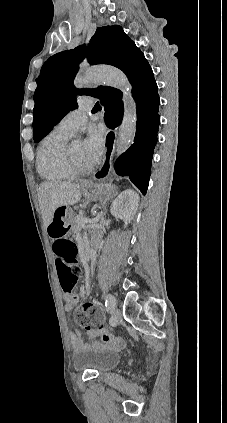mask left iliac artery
<instances>
[{"label": "left iliac artery", "mask_w": 227, "mask_h": 423, "mask_svg": "<svg viewBox=\"0 0 227 423\" xmlns=\"http://www.w3.org/2000/svg\"><path fill=\"white\" fill-rule=\"evenodd\" d=\"M104 300H105V306H106V308H107L109 305H111V304H114V303H115V298H114V296H113L112 294H107V295L105 296ZM112 310H113V307H112V306H111V307H108V311H112Z\"/></svg>", "instance_id": "44dca946"}]
</instances>
